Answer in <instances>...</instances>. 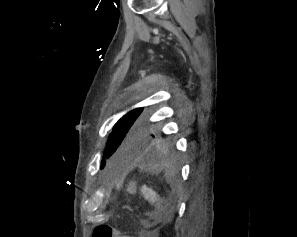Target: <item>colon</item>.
<instances>
[{
  "label": "colon",
  "mask_w": 297,
  "mask_h": 237,
  "mask_svg": "<svg viewBox=\"0 0 297 237\" xmlns=\"http://www.w3.org/2000/svg\"><path fill=\"white\" fill-rule=\"evenodd\" d=\"M92 237H131L121 234L108 224L99 225L94 229Z\"/></svg>",
  "instance_id": "5ec220e1"
}]
</instances>
